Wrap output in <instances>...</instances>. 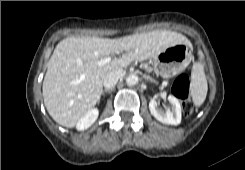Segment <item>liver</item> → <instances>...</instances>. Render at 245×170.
I'll use <instances>...</instances> for the list:
<instances>
[{
    "label": "liver",
    "mask_w": 245,
    "mask_h": 170,
    "mask_svg": "<svg viewBox=\"0 0 245 170\" xmlns=\"http://www.w3.org/2000/svg\"><path fill=\"white\" fill-rule=\"evenodd\" d=\"M176 44L191 46L182 34L156 30L116 39L68 37L60 41L48 61L42 91L45 107L58 124L73 128L100 100L103 81L133 61L153 58ZM125 51L105 65L99 61Z\"/></svg>",
    "instance_id": "obj_1"
}]
</instances>
